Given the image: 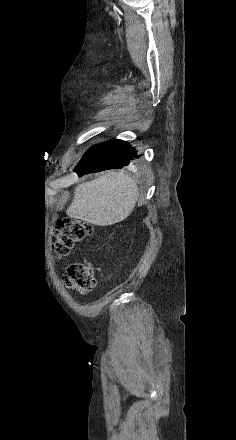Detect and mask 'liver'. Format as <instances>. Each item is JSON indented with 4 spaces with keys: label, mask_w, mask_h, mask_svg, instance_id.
Returning <instances> with one entry per match:
<instances>
[{
    "label": "liver",
    "mask_w": 236,
    "mask_h": 440,
    "mask_svg": "<svg viewBox=\"0 0 236 440\" xmlns=\"http://www.w3.org/2000/svg\"><path fill=\"white\" fill-rule=\"evenodd\" d=\"M138 196V186L129 175L109 171L96 180L77 185L66 213L97 226H110L132 213Z\"/></svg>",
    "instance_id": "1"
}]
</instances>
